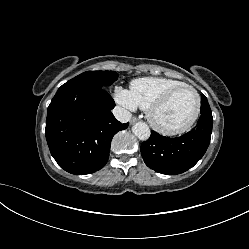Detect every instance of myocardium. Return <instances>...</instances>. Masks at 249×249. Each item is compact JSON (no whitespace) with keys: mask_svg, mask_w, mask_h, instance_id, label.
<instances>
[{"mask_svg":"<svg viewBox=\"0 0 249 249\" xmlns=\"http://www.w3.org/2000/svg\"><path fill=\"white\" fill-rule=\"evenodd\" d=\"M182 89H189L195 94L196 107H195L194 113H193L192 117L190 118V120L185 125L178 127V128H174V129L165 128V127L161 126L156 121L155 113L158 109H160L165 104H167V102L171 99V97L176 92H178ZM200 110H201V97H200V94L198 93V91L193 86H191L189 84H182V85H178V86H175V87L169 89L161 97H159L157 100L152 102L150 104V106L147 108V119H148L149 123L151 124V126L155 130H157L158 132H160L164 135H168V136H175V135H180L182 133H185L195 124V122L197 121V119L199 117Z\"/></svg>","mask_w":249,"mask_h":249,"instance_id":"f54148a6","label":"myocardium"}]
</instances>
